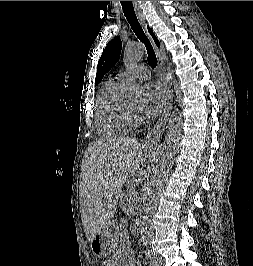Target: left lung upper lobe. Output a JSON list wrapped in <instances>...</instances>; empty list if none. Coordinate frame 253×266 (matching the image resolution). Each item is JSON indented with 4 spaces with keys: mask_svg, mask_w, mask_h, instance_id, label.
<instances>
[{
    "mask_svg": "<svg viewBox=\"0 0 253 266\" xmlns=\"http://www.w3.org/2000/svg\"><path fill=\"white\" fill-rule=\"evenodd\" d=\"M121 49L122 42L119 37H115L103 50L97 65V75L95 79L96 85L101 82L103 76L116 64L119 59Z\"/></svg>",
    "mask_w": 253,
    "mask_h": 266,
    "instance_id": "1",
    "label": "left lung upper lobe"
}]
</instances>
